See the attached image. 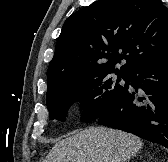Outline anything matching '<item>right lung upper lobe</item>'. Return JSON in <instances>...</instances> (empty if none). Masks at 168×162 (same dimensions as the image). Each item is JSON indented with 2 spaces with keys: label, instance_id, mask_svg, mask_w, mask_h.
<instances>
[{
  "label": "right lung upper lobe",
  "instance_id": "1",
  "mask_svg": "<svg viewBox=\"0 0 168 162\" xmlns=\"http://www.w3.org/2000/svg\"><path fill=\"white\" fill-rule=\"evenodd\" d=\"M168 54V9L161 0H99L64 23L47 71L48 87L91 73L129 74ZM126 60L121 68L115 64Z\"/></svg>",
  "mask_w": 168,
  "mask_h": 162
}]
</instances>
